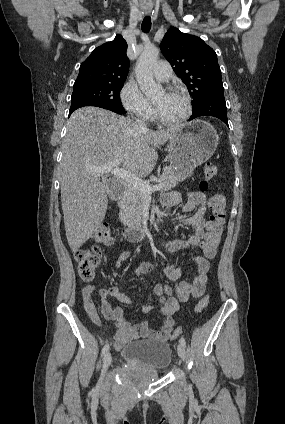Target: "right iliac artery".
Returning <instances> with one entry per match:
<instances>
[{
    "mask_svg": "<svg viewBox=\"0 0 285 424\" xmlns=\"http://www.w3.org/2000/svg\"><path fill=\"white\" fill-rule=\"evenodd\" d=\"M109 350V344H106L103 348H102V355H105V353Z\"/></svg>",
    "mask_w": 285,
    "mask_h": 424,
    "instance_id": "obj_1",
    "label": "right iliac artery"
}]
</instances>
